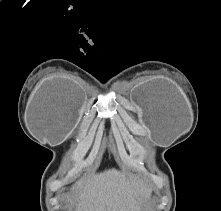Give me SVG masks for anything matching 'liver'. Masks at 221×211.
I'll return each instance as SVG.
<instances>
[{"instance_id": "1", "label": "liver", "mask_w": 221, "mask_h": 211, "mask_svg": "<svg viewBox=\"0 0 221 211\" xmlns=\"http://www.w3.org/2000/svg\"><path fill=\"white\" fill-rule=\"evenodd\" d=\"M149 191L139 176L110 169L78 180L72 198L75 211H140Z\"/></svg>"}]
</instances>
